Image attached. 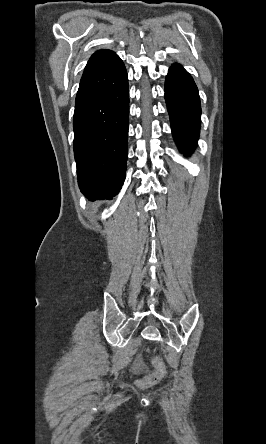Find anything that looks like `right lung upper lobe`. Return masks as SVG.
<instances>
[{
	"mask_svg": "<svg viewBox=\"0 0 266 444\" xmlns=\"http://www.w3.org/2000/svg\"><path fill=\"white\" fill-rule=\"evenodd\" d=\"M116 57L117 55L111 50H99L95 52L84 69L80 83L100 72Z\"/></svg>",
	"mask_w": 266,
	"mask_h": 444,
	"instance_id": "1",
	"label": "right lung upper lobe"
}]
</instances>
